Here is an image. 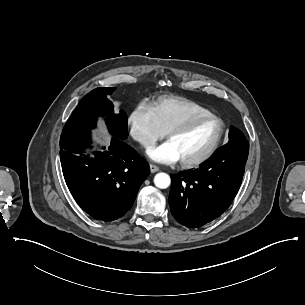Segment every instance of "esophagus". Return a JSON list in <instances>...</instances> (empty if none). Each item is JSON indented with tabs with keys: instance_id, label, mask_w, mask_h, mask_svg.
Masks as SVG:
<instances>
[{
	"instance_id": "1",
	"label": "esophagus",
	"mask_w": 305,
	"mask_h": 305,
	"mask_svg": "<svg viewBox=\"0 0 305 305\" xmlns=\"http://www.w3.org/2000/svg\"><path fill=\"white\" fill-rule=\"evenodd\" d=\"M150 171L151 173H155L157 171H159L158 166L154 165V164H150Z\"/></svg>"
}]
</instances>
